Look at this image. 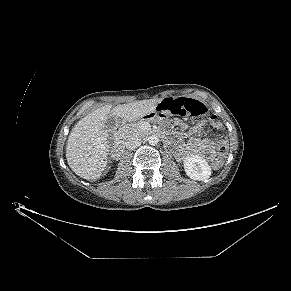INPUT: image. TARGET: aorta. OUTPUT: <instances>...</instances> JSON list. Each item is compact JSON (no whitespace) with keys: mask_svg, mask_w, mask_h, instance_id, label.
I'll return each mask as SVG.
<instances>
[{"mask_svg":"<svg viewBox=\"0 0 291 291\" xmlns=\"http://www.w3.org/2000/svg\"><path fill=\"white\" fill-rule=\"evenodd\" d=\"M148 143L152 146H155L159 143V138L158 136L156 135H151L149 138H148Z\"/></svg>","mask_w":291,"mask_h":291,"instance_id":"1","label":"aorta"}]
</instances>
